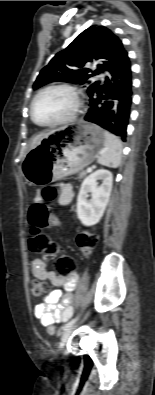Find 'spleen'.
Here are the masks:
<instances>
[{"instance_id": "obj_1", "label": "spleen", "mask_w": 155, "mask_h": 395, "mask_svg": "<svg viewBox=\"0 0 155 395\" xmlns=\"http://www.w3.org/2000/svg\"><path fill=\"white\" fill-rule=\"evenodd\" d=\"M104 136V148L100 151L97 161L101 165L117 168L121 163L122 143L117 136L110 132L105 131Z\"/></svg>"}]
</instances>
